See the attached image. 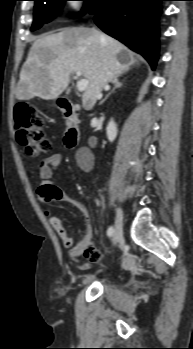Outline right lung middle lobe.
<instances>
[{
    "instance_id": "obj_1",
    "label": "right lung middle lobe",
    "mask_w": 193,
    "mask_h": 349,
    "mask_svg": "<svg viewBox=\"0 0 193 349\" xmlns=\"http://www.w3.org/2000/svg\"><path fill=\"white\" fill-rule=\"evenodd\" d=\"M34 21L31 30H36L42 26V24L50 22L54 19L64 3L69 0H34ZM85 2L84 9L79 15L89 13L94 9L99 0H80Z\"/></svg>"
}]
</instances>
